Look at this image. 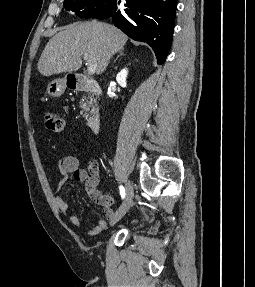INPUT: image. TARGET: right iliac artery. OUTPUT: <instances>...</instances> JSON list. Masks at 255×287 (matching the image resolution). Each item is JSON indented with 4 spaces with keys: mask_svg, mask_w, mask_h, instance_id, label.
<instances>
[{
    "mask_svg": "<svg viewBox=\"0 0 255 287\" xmlns=\"http://www.w3.org/2000/svg\"><path fill=\"white\" fill-rule=\"evenodd\" d=\"M119 189H120L121 197L124 198L125 197V189H124V187L120 186Z\"/></svg>",
    "mask_w": 255,
    "mask_h": 287,
    "instance_id": "right-iliac-artery-1",
    "label": "right iliac artery"
}]
</instances>
